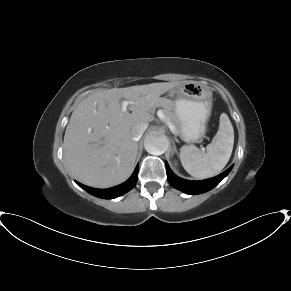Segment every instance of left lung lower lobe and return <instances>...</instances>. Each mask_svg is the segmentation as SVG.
Segmentation results:
<instances>
[{
	"instance_id": "left-lung-lower-lobe-1",
	"label": "left lung lower lobe",
	"mask_w": 291,
	"mask_h": 291,
	"mask_svg": "<svg viewBox=\"0 0 291 291\" xmlns=\"http://www.w3.org/2000/svg\"><path fill=\"white\" fill-rule=\"evenodd\" d=\"M233 166L221 173L220 175L202 181H190L177 177L166 163V172L169 183L176 189L183 191L186 194H200L214 188L219 182L226 177Z\"/></svg>"
}]
</instances>
